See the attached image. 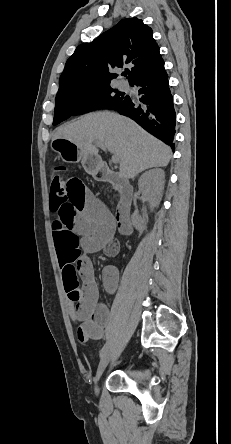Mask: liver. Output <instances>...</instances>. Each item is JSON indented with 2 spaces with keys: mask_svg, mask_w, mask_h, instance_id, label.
Here are the masks:
<instances>
[{
  "mask_svg": "<svg viewBox=\"0 0 231 444\" xmlns=\"http://www.w3.org/2000/svg\"><path fill=\"white\" fill-rule=\"evenodd\" d=\"M64 138L84 152L98 156L95 142H100L119 157L120 174L133 178L140 172L167 166L172 151L169 146L153 137L131 119L111 113L87 114L80 120L58 127L53 139Z\"/></svg>",
  "mask_w": 231,
  "mask_h": 444,
  "instance_id": "obj_1",
  "label": "liver"
}]
</instances>
